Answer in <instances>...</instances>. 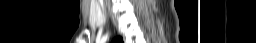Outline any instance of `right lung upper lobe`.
<instances>
[{"instance_id":"cb5924a9","label":"right lung upper lobe","mask_w":256,"mask_h":43,"mask_svg":"<svg viewBox=\"0 0 256 43\" xmlns=\"http://www.w3.org/2000/svg\"><path fill=\"white\" fill-rule=\"evenodd\" d=\"M113 43H123L122 38H116L113 40Z\"/></svg>"}]
</instances>
